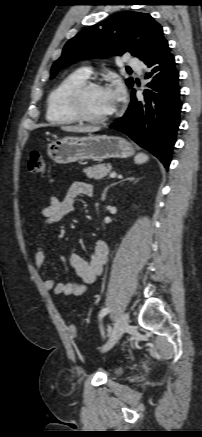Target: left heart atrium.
<instances>
[{"mask_svg": "<svg viewBox=\"0 0 202 437\" xmlns=\"http://www.w3.org/2000/svg\"><path fill=\"white\" fill-rule=\"evenodd\" d=\"M112 94L113 98L118 102L123 94V88L119 83L113 84L110 88H107Z\"/></svg>", "mask_w": 202, "mask_h": 437, "instance_id": "obj_1", "label": "left heart atrium"}]
</instances>
